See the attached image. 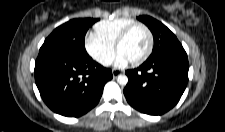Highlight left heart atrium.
Masks as SVG:
<instances>
[{"label":"left heart atrium","mask_w":225,"mask_h":132,"mask_svg":"<svg viewBox=\"0 0 225 132\" xmlns=\"http://www.w3.org/2000/svg\"><path fill=\"white\" fill-rule=\"evenodd\" d=\"M128 62V59L121 53H118L115 58V65L116 66H122L125 65Z\"/></svg>","instance_id":"obj_1"}]
</instances>
